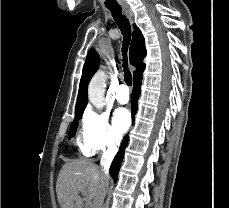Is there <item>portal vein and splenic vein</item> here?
I'll use <instances>...</instances> for the list:
<instances>
[{"label":"portal vein and splenic vein","instance_id":"1","mask_svg":"<svg viewBox=\"0 0 229 208\" xmlns=\"http://www.w3.org/2000/svg\"><path fill=\"white\" fill-rule=\"evenodd\" d=\"M91 204L89 202H86V208H90Z\"/></svg>","mask_w":229,"mask_h":208}]
</instances>
